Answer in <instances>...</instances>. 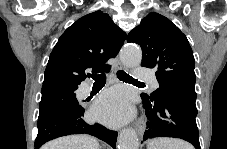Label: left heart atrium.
<instances>
[{
	"mask_svg": "<svg viewBox=\"0 0 227 149\" xmlns=\"http://www.w3.org/2000/svg\"><path fill=\"white\" fill-rule=\"evenodd\" d=\"M132 115V107L127 93L120 88L105 91L97 100L93 116L107 124L119 125Z\"/></svg>",
	"mask_w": 227,
	"mask_h": 149,
	"instance_id": "obj_1",
	"label": "left heart atrium"
}]
</instances>
